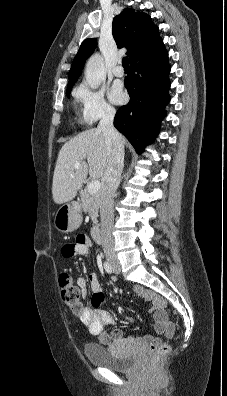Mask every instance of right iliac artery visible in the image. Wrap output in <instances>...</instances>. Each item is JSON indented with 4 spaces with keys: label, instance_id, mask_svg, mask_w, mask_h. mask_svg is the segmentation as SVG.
I'll return each instance as SVG.
<instances>
[{
    "label": "right iliac artery",
    "instance_id": "82829eb1",
    "mask_svg": "<svg viewBox=\"0 0 227 396\" xmlns=\"http://www.w3.org/2000/svg\"><path fill=\"white\" fill-rule=\"evenodd\" d=\"M104 269H105V271L107 273L111 274L113 272V269H112L111 265L108 262H104Z\"/></svg>",
    "mask_w": 227,
    "mask_h": 396
}]
</instances>
